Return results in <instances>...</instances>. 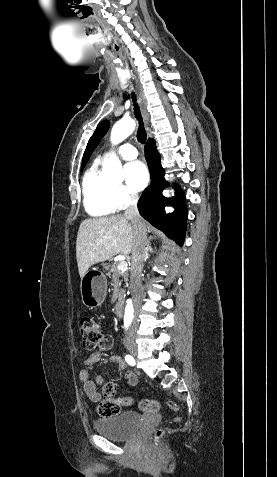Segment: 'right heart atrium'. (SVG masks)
<instances>
[{
	"instance_id": "obj_1",
	"label": "right heart atrium",
	"mask_w": 277,
	"mask_h": 477,
	"mask_svg": "<svg viewBox=\"0 0 277 477\" xmlns=\"http://www.w3.org/2000/svg\"><path fill=\"white\" fill-rule=\"evenodd\" d=\"M113 197L117 209H123L137 199V196L134 193L122 185L114 187Z\"/></svg>"
}]
</instances>
